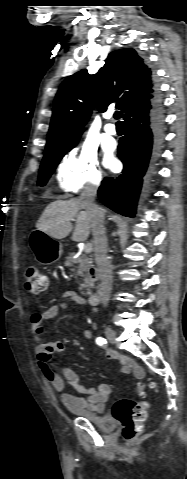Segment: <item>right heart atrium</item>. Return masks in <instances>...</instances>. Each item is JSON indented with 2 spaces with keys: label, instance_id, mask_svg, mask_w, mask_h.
Here are the masks:
<instances>
[{
  "label": "right heart atrium",
  "instance_id": "obj_1",
  "mask_svg": "<svg viewBox=\"0 0 187 479\" xmlns=\"http://www.w3.org/2000/svg\"><path fill=\"white\" fill-rule=\"evenodd\" d=\"M56 180L60 191L66 195L99 186L103 172L96 151L86 146L70 151L56 167Z\"/></svg>",
  "mask_w": 187,
  "mask_h": 479
}]
</instances>
